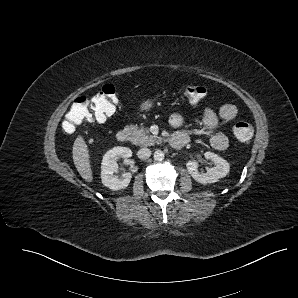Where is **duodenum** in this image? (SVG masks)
<instances>
[{
  "label": "duodenum",
  "instance_id": "obj_1",
  "mask_svg": "<svg viewBox=\"0 0 298 298\" xmlns=\"http://www.w3.org/2000/svg\"><path fill=\"white\" fill-rule=\"evenodd\" d=\"M131 139V132L129 129L124 128L118 131L117 140L121 143H128ZM189 142V137L185 134H175L170 138V145L175 149L185 147Z\"/></svg>",
  "mask_w": 298,
  "mask_h": 298
}]
</instances>
